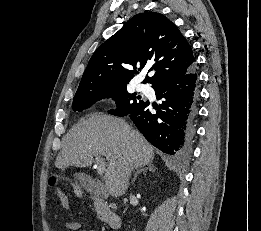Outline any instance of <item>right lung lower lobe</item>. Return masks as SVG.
I'll return each mask as SVG.
<instances>
[{"instance_id": "98d812e1", "label": "right lung lower lobe", "mask_w": 261, "mask_h": 231, "mask_svg": "<svg viewBox=\"0 0 261 231\" xmlns=\"http://www.w3.org/2000/svg\"><path fill=\"white\" fill-rule=\"evenodd\" d=\"M197 86L194 66L181 76L161 80L153 86L156 96L163 99L156 113L150 112L154 105L145 101L124 116H129L144 137L164 153L184 155L194 133Z\"/></svg>"}]
</instances>
